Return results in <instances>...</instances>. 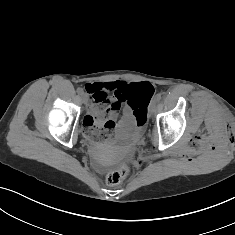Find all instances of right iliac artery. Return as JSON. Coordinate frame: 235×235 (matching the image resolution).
Segmentation results:
<instances>
[{"label": "right iliac artery", "mask_w": 235, "mask_h": 235, "mask_svg": "<svg viewBox=\"0 0 235 235\" xmlns=\"http://www.w3.org/2000/svg\"><path fill=\"white\" fill-rule=\"evenodd\" d=\"M77 93L82 95L84 93L83 89L82 88H77Z\"/></svg>", "instance_id": "1"}]
</instances>
